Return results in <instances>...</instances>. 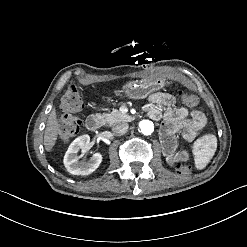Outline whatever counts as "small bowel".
I'll list each match as a JSON object with an SVG mask.
<instances>
[{
  "mask_svg": "<svg viewBox=\"0 0 247 247\" xmlns=\"http://www.w3.org/2000/svg\"><path fill=\"white\" fill-rule=\"evenodd\" d=\"M177 99L174 95L157 92L149 97L146 106L148 116L155 121L164 120L161 129V139L164 154L168 159L173 158L176 148V134L180 133L188 142L193 141L205 123V116L199 110H189L184 106H177ZM166 106L169 109L162 112L160 107Z\"/></svg>",
  "mask_w": 247,
  "mask_h": 247,
  "instance_id": "small-bowel-1",
  "label": "small bowel"
}]
</instances>
